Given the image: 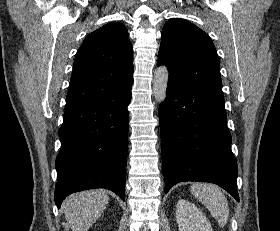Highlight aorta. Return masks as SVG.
Returning <instances> with one entry per match:
<instances>
[{"label":"aorta","instance_id":"762f6f07","mask_svg":"<svg viewBox=\"0 0 280 231\" xmlns=\"http://www.w3.org/2000/svg\"><path fill=\"white\" fill-rule=\"evenodd\" d=\"M168 80L169 72L166 66H159V68H156L153 78V94L158 104L164 102L166 98Z\"/></svg>","mask_w":280,"mask_h":231}]
</instances>
